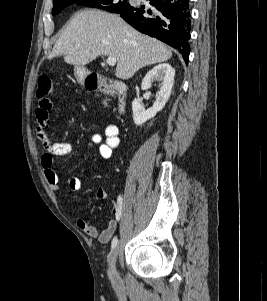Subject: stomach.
<instances>
[{"mask_svg": "<svg viewBox=\"0 0 267 301\" xmlns=\"http://www.w3.org/2000/svg\"><path fill=\"white\" fill-rule=\"evenodd\" d=\"M85 75H86V72H85L84 68H78V67L75 68V76L79 82H81V83L84 82Z\"/></svg>", "mask_w": 267, "mask_h": 301, "instance_id": "obj_1", "label": "stomach"}]
</instances>
